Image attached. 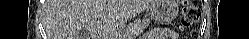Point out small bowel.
<instances>
[{
    "mask_svg": "<svg viewBox=\"0 0 249 39\" xmlns=\"http://www.w3.org/2000/svg\"><path fill=\"white\" fill-rule=\"evenodd\" d=\"M172 31L168 28L153 29L146 33L144 39H168Z\"/></svg>",
    "mask_w": 249,
    "mask_h": 39,
    "instance_id": "1",
    "label": "small bowel"
}]
</instances>
